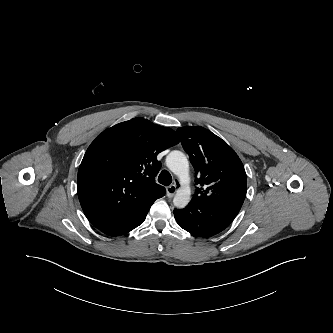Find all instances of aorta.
I'll list each match as a JSON object with an SVG mask.
<instances>
[{
	"label": "aorta",
	"instance_id": "obj_1",
	"mask_svg": "<svg viewBox=\"0 0 333 333\" xmlns=\"http://www.w3.org/2000/svg\"><path fill=\"white\" fill-rule=\"evenodd\" d=\"M167 167L181 180L189 179V163L185 154L181 151H172L166 158ZM191 190L188 186L179 188L173 199L174 206L181 209L190 202Z\"/></svg>",
	"mask_w": 333,
	"mask_h": 333
}]
</instances>
